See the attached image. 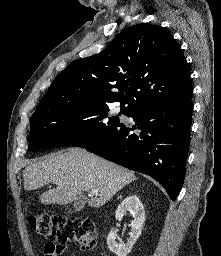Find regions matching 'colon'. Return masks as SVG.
Here are the masks:
<instances>
[{"label": "colon", "instance_id": "5ec220e1", "mask_svg": "<svg viewBox=\"0 0 221 256\" xmlns=\"http://www.w3.org/2000/svg\"><path fill=\"white\" fill-rule=\"evenodd\" d=\"M30 228L48 239L45 251L58 256L70 243L77 242L90 251L97 245L95 226L92 220L76 217H56L45 211L28 217Z\"/></svg>", "mask_w": 221, "mask_h": 256}]
</instances>
